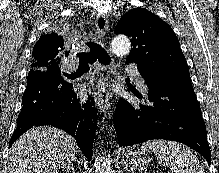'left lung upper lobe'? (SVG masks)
Segmentation results:
<instances>
[{
  "mask_svg": "<svg viewBox=\"0 0 219 173\" xmlns=\"http://www.w3.org/2000/svg\"><path fill=\"white\" fill-rule=\"evenodd\" d=\"M115 34L131 38L128 62L138 68L153 69L160 85L191 82L186 59L172 28L162 19L143 8L128 11L115 27Z\"/></svg>",
  "mask_w": 219,
  "mask_h": 173,
  "instance_id": "1",
  "label": "left lung upper lobe"
}]
</instances>
